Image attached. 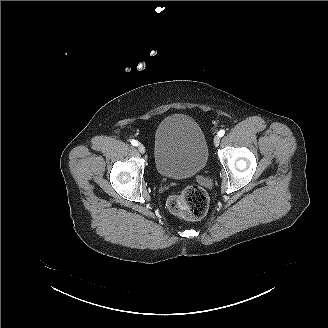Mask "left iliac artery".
<instances>
[{
	"instance_id": "left-iliac-artery-1",
	"label": "left iliac artery",
	"mask_w": 328,
	"mask_h": 328,
	"mask_svg": "<svg viewBox=\"0 0 328 328\" xmlns=\"http://www.w3.org/2000/svg\"><path fill=\"white\" fill-rule=\"evenodd\" d=\"M224 134H225V131H224V130H220V131L218 132V135H219L220 137H222Z\"/></svg>"
}]
</instances>
